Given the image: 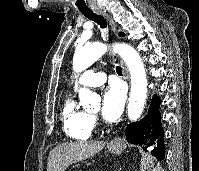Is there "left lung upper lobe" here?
I'll return each instance as SVG.
<instances>
[{
    "instance_id": "left-lung-upper-lobe-1",
    "label": "left lung upper lobe",
    "mask_w": 199,
    "mask_h": 171,
    "mask_svg": "<svg viewBox=\"0 0 199 171\" xmlns=\"http://www.w3.org/2000/svg\"><path fill=\"white\" fill-rule=\"evenodd\" d=\"M120 36H123V33H120Z\"/></svg>"
}]
</instances>
